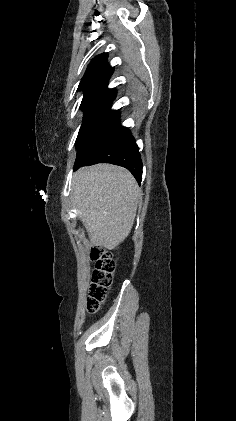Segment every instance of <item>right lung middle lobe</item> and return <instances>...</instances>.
<instances>
[{
    "label": "right lung middle lobe",
    "mask_w": 236,
    "mask_h": 421,
    "mask_svg": "<svg viewBox=\"0 0 236 421\" xmlns=\"http://www.w3.org/2000/svg\"><path fill=\"white\" fill-rule=\"evenodd\" d=\"M115 97V89L106 87L84 92L80 105L84 119L76 140L78 149L113 113L110 107Z\"/></svg>",
    "instance_id": "1"
}]
</instances>
